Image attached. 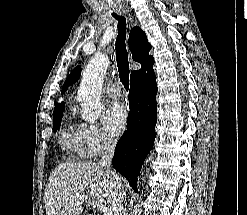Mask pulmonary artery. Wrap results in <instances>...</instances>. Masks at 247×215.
<instances>
[{
	"label": "pulmonary artery",
	"instance_id": "pulmonary-artery-1",
	"mask_svg": "<svg viewBox=\"0 0 247 215\" xmlns=\"http://www.w3.org/2000/svg\"><path fill=\"white\" fill-rule=\"evenodd\" d=\"M105 93L108 97L118 98L122 94V90L117 83H111L105 88Z\"/></svg>",
	"mask_w": 247,
	"mask_h": 215
}]
</instances>
